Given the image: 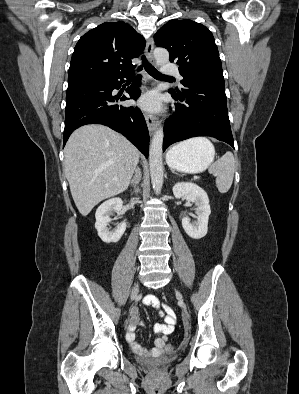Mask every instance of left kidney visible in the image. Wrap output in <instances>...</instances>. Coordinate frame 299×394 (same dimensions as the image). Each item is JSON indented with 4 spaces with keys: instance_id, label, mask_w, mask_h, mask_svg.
Wrapping results in <instances>:
<instances>
[{
    "instance_id": "left-kidney-1",
    "label": "left kidney",
    "mask_w": 299,
    "mask_h": 394,
    "mask_svg": "<svg viewBox=\"0 0 299 394\" xmlns=\"http://www.w3.org/2000/svg\"><path fill=\"white\" fill-rule=\"evenodd\" d=\"M173 194L176 198H185L195 203L197 221L190 222L188 217L182 219V227L187 235L193 239L203 238L208 231V220L211 214L207 193L198 185L191 182H178L173 186Z\"/></svg>"
}]
</instances>
